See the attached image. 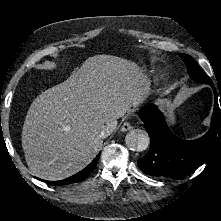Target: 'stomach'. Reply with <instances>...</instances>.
I'll return each mask as SVG.
<instances>
[{"label": "stomach", "instance_id": "1", "mask_svg": "<svg viewBox=\"0 0 221 221\" xmlns=\"http://www.w3.org/2000/svg\"><path fill=\"white\" fill-rule=\"evenodd\" d=\"M159 107L166 113L170 125L175 124V106L169 99H160Z\"/></svg>", "mask_w": 221, "mask_h": 221}]
</instances>
